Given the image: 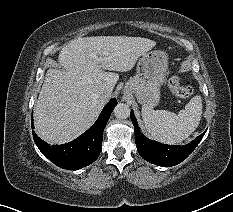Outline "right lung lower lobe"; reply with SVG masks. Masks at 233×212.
<instances>
[{
  "label": "right lung lower lobe",
  "mask_w": 233,
  "mask_h": 212,
  "mask_svg": "<svg viewBox=\"0 0 233 212\" xmlns=\"http://www.w3.org/2000/svg\"><path fill=\"white\" fill-rule=\"evenodd\" d=\"M117 105L116 99H111L102 110L95 124L75 140L62 145H50L40 139L33 131L35 144L51 162L58 167L77 170L93 163L101 152L104 128ZM34 129L33 116L31 119Z\"/></svg>",
  "instance_id": "obj_1"
}]
</instances>
